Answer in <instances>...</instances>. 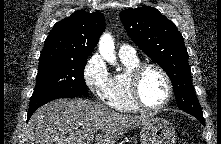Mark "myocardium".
Here are the masks:
<instances>
[{
	"instance_id": "obj_1",
	"label": "myocardium",
	"mask_w": 221,
	"mask_h": 144,
	"mask_svg": "<svg viewBox=\"0 0 221 144\" xmlns=\"http://www.w3.org/2000/svg\"><path fill=\"white\" fill-rule=\"evenodd\" d=\"M154 69L157 70L164 78L166 85H167V95L165 100L157 105V106H148L142 99L140 94V81L143 76V74L149 70ZM128 83H129V93L132 102L138 109L146 110V111H160L163 108H165L171 101L173 96V83L168 75V73L165 71L164 68H162L158 64L154 63H140L136 67H134L128 75Z\"/></svg>"
}]
</instances>
